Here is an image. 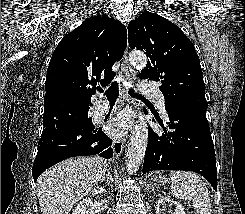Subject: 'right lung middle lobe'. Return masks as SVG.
Here are the masks:
<instances>
[{"instance_id": "dd1d6c3e", "label": "right lung middle lobe", "mask_w": 245, "mask_h": 214, "mask_svg": "<svg viewBox=\"0 0 245 214\" xmlns=\"http://www.w3.org/2000/svg\"><path fill=\"white\" fill-rule=\"evenodd\" d=\"M88 109H85L84 111H82L80 114V117H88V113H87Z\"/></svg>"}]
</instances>
